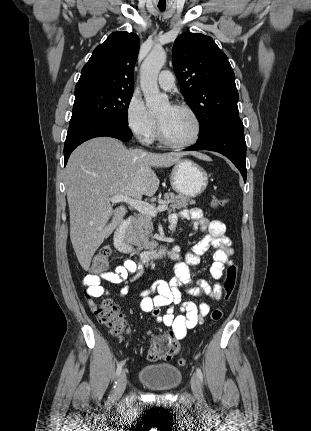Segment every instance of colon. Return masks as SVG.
I'll use <instances>...</instances> for the list:
<instances>
[{
	"label": "colon",
	"instance_id": "colon-1",
	"mask_svg": "<svg viewBox=\"0 0 311 431\" xmlns=\"http://www.w3.org/2000/svg\"><path fill=\"white\" fill-rule=\"evenodd\" d=\"M212 204L217 207H224L226 205V200L221 197H213ZM110 256L111 248L109 246H103L94 256L89 268V274L85 275V277H96L104 272L109 264ZM237 273L238 268L236 265H230L226 270V276L223 282L225 300L229 299L235 289ZM89 286L90 284L85 285L86 288ZM89 297L92 296L89 295ZM94 311L99 320L108 326L113 335L119 338H124L127 335V323L119 312L118 307L110 300L104 299L100 301L94 307ZM222 315V309L215 308L211 312V320L217 322L222 318ZM179 350L180 344L178 342L169 338H159L150 345L147 357L151 361L160 359L168 360L176 355ZM178 363L180 366H185L187 364V360L185 358H180Z\"/></svg>",
	"mask_w": 311,
	"mask_h": 431
}]
</instances>
